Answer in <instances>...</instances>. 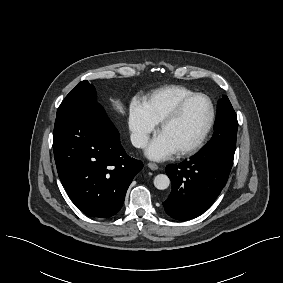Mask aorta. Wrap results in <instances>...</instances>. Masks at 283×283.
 Wrapping results in <instances>:
<instances>
[{
    "mask_svg": "<svg viewBox=\"0 0 283 283\" xmlns=\"http://www.w3.org/2000/svg\"><path fill=\"white\" fill-rule=\"evenodd\" d=\"M170 179L165 174H159L154 178V186L159 190H165L169 187Z\"/></svg>",
    "mask_w": 283,
    "mask_h": 283,
    "instance_id": "762f6f07",
    "label": "aorta"
}]
</instances>
